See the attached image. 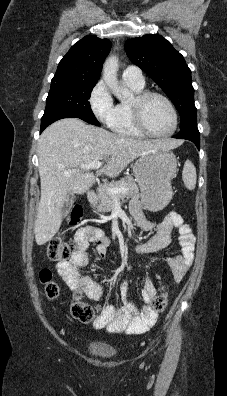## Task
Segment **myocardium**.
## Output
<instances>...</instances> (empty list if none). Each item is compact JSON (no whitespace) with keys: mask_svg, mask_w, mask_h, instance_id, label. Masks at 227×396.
Here are the masks:
<instances>
[{"mask_svg":"<svg viewBox=\"0 0 227 396\" xmlns=\"http://www.w3.org/2000/svg\"><path fill=\"white\" fill-rule=\"evenodd\" d=\"M151 97H158L162 99L167 104V106L169 107L172 113L173 127L170 131L166 133H156L151 131L147 127L144 121V116H143L144 105L146 101ZM130 107H131V113L134 124L144 135L150 137H156V138H166L172 136L176 132L179 122L178 112L173 102L165 94L153 90L142 91L136 94V96L133 98V100L130 103Z\"/></svg>","mask_w":227,"mask_h":396,"instance_id":"1","label":"myocardium"}]
</instances>
